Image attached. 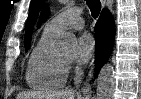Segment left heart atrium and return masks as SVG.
Masks as SVG:
<instances>
[{"mask_svg": "<svg viewBox=\"0 0 141 99\" xmlns=\"http://www.w3.org/2000/svg\"><path fill=\"white\" fill-rule=\"evenodd\" d=\"M95 41L90 34H82L78 38V55L77 61L79 63H85L90 59L94 52Z\"/></svg>", "mask_w": 141, "mask_h": 99, "instance_id": "left-heart-atrium-1", "label": "left heart atrium"}]
</instances>
